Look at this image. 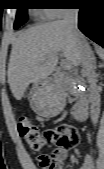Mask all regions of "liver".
Listing matches in <instances>:
<instances>
[{
  "instance_id": "1",
  "label": "liver",
  "mask_w": 104,
  "mask_h": 169,
  "mask_svg": "<svg viewBox=\"0 0 104 169\" xmlns=\"http://www.w3.org/2000/svg\"><path fill=\"white\" fill-rule=\"evenodd\" d=\"M60 53L72 65L80 64L78 42L63 20L31 27L14 39L7 76L16 100L22 99L30 84L36 85L54 72Z\"/></svg>"
}]
</instances>
